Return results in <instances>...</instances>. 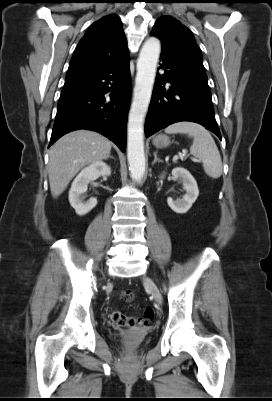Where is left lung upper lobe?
Here are the masks:
<instances>
[{"mask_svg": "<svg viewBox=\"0 0 272 401\" xmlns=\"http://www.w3.org/2000/svg\"><path fill=\"white\" fill-rule=\"evenodd\" d=\"M162 41V52L204 69L203 58L192 32L171 16L160 17L151 31Z\"/></svg>", "mask_w": 272, "mask_h": 401, "instance_id": "left-lung-upper-lobe-1", "label": "left lung upper lobe"}]
</instances>
